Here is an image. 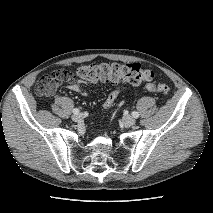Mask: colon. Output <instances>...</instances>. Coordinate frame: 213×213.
<instances>
[{"instance_id":"5ec220e1","label":"colon","mask_w":213,"mask_h":213,"mask_svg":"<svg viewBox=\"0 0 213 213\" xmlns=\"http://www.w3.org/2000/svg\"><path fill=\"white\" fill-rule=\"evenodd\" d=\"M77 76L81 80L87 82H106L112 84L128 83L131 85L145 84L146 88L152 92L167 93L170 91V87L165 83H153V72L147 68H144L139 63L87 64L78 69ZM71 79L72 75L66 70L55 71L51 75H45L41 78L36 86V92L39 95H43L50 84L59 83ZM118 96V90L112 91L105 102V108H111L118 99Z\"/></svg>"}]
</instances>
